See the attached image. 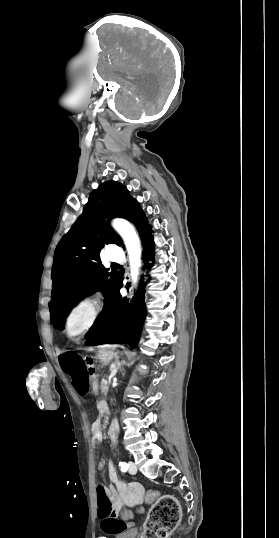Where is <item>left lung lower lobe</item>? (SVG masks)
Instances as JSON below:
<instances>
[{"instance_id": "left-lung-lower-lobe-1", "label": "left lung lower lobe", "mask_w": 279, "mask_h": 538, "mask_svg": "<svg viewBox=\"0 0 279 538\" xmlns=\"http://www.w3.org/2000/svg\"><path fill=\"white\" fill-rule=\"evenodd\" d=\"M140 236L144 245V269H150L154 264L148 263L149 261L154 262V240L151 225H148ZM145 285L146 283L141 284L137 294L129 302L126 298L122 299L119 293L123 286L122 280L119 278L114 293V305L116 307L102 328L89 336H85L87 345L129 343L132 347L136 346L146 317L143 298ZM126 287L128 288L129 284Z\"/></svg>"}]
</instances>
